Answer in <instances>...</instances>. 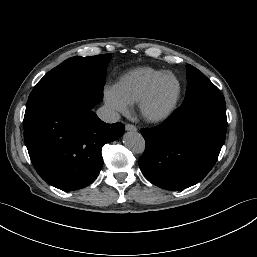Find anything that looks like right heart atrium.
<instances>
[{
  "label": "right heart atrium",
  "mask_w": 257,
  "mask_h": 257,
  "mask_svg": "<svg viewBox=\"0 0 257 257\" xmlns=\"http://www.w3.org/2000/svg\"><path fill=\"white\" fill-rule=\"evenodd\" d=\"M104 100L106 106L114 114H127L129 112V104L115 91L114 88L105 89Z\"/></svg>",
  "instance_id": "right-heart-atrium-1"
}]
</instances>
